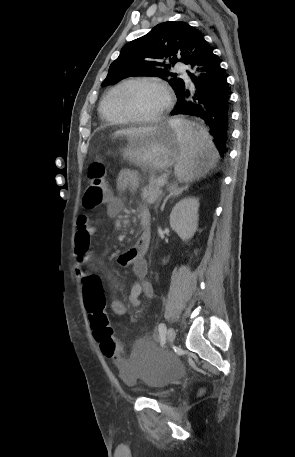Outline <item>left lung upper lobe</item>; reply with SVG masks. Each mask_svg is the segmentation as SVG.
Listing matches in <instances>:
<instances>
[{
  "label": "left lung upper lobe",
  "instance_id": "obj_1",
  "mask_svg": "<svg viewBox=\"0 0 295 457\" xmlns=\"http://www.w3.org/2000/svg\"><path fill=\"white\" fill-rule=\"evenodd\" d=\"M203 34L185 22L168 21L155 26L146 35L127 43L112 62L101 86L135 76H154L167 81L175 94L184 82L169 68L177 61L188 63ZM164 59L170 61L165 64ZM171 76L172 78H168Z\"/></svg>",
  "mask_w": 295,
  "mask_h": 457
}]
</instances>
